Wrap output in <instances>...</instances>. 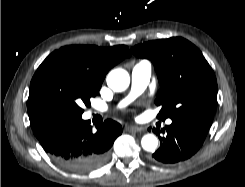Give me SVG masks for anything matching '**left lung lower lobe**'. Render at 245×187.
<instances>
[{
    "label": "left lung lower lobe",
    "instance_id": "0a47b994",
    "mask_svg": "<svg viewBox=\"0 0 245 187\" xmlns=\"http://www.w3.org/2000/svg\"><path fill=\"white\" fill-rule=\"evenodd\" d=\"M211 123V119L192 118L172 120V124L161 130L153 128L161 142L152 155L153 160L174 164L190 158L202 146Z\"/></svg>",
    "mask_w": 245,
    "mask_h": 187
}]
</instances>
